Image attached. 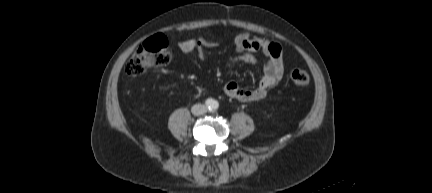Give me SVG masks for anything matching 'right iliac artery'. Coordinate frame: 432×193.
<instances>
[{
  "mask_svg": "<svg viewBox=\"0 0 432 193\" xmlns=\"http://www.w3.org/2000/svg\"><path fill=\"white\" fill-rule=\"evenodd\" d=\"M212 104H213V102H212L211 99H207L206 102H205V105H206L208 108H210V107L212 106Z\"/></svg>",
  "mask_w": 432,
  "mask_h": 193,
  "instance_id": "right-iliac-artery-1",
  "label": "right iliac artery"
}]
</instances>
